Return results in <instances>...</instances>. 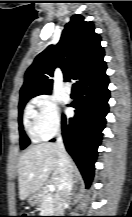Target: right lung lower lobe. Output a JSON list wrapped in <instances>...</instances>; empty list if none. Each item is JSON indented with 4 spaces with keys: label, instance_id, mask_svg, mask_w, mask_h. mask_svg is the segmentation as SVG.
<instances>
[{
    "label": "right lung lower lobe",
    "instance_id": "98d812e1",
    "mask_svg": "<svg viewBox=\"0 0 132 217\" xmlns=\"http://www.w3.org/2000/svg\"><path fill=\"white\" fill-rule=\"evenodd\" d=\"M108 77L78 87V99L71 103L75 116H62V135L68 153L72 156L89 187L94 175L97 148L101 143L105 116L110 98ZM53 141V140H52Z\"/></svg>",
    "mask_w": 132,
    "mask_h": 217
}]
</instances>
